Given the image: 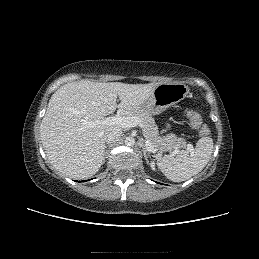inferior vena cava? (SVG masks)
I'll use <instances>...</instances> for the list:
<instances>
[{
	"label": "inferior vena cava",
	"instance_id": "inferior-vena-cava-1",
	"mask_svg": "<svg viewBox=\"0 0 259 259\" xmlns=\"http://www.w3.org/2000/svg\"><path fill=\"white\" fill-rule=\"evenodd\" d=\"M122 134V131L120 128L117 127H110L106 130L104 134V139L107 143H111L112 141H115L118 139Z\"/></svg>",
	"mask_w": 259,
	"mask_h": 259
}]
</instances>
